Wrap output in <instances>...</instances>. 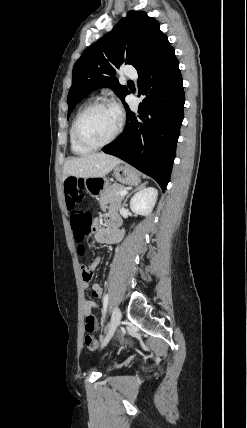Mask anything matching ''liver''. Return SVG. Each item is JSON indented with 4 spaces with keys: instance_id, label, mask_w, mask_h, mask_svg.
Masks as SVG:
<instances>
[{
    "instance_id": "1",
    "label": "liver",
    "mask_w": 247,
    "mask_h": 428,
    "mask_svg": "<svg viewBox=\"0 0 247 428\" xmlns=\"http://www.w3.org/2000/svg\"><path fill=\"white\" fill-rule=\"evenodd\" d=\"M121 162L119 158L104 153H94L79 158H71L64 164L63 179L69 176L84 179L104 177Z\"/></svg>"
}]
</instances>
